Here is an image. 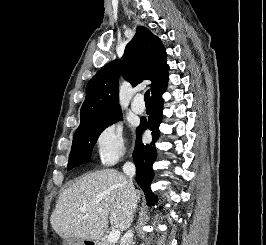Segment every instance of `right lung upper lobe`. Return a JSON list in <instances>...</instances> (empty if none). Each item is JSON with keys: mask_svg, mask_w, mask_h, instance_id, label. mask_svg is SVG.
I'll return each mask as SVG.
<instances>
[{"mask_svg": "<svg viewBox=\"0 0 266 245\" xmlns=\"http://www.w3.org/2000/svg\"><path fill=\"white\" fill-rule=\"evenodd\" d=\"M168 69L160 39L144 26H138L122 59L106 64L87 84L81 122L121 111L118 105L119 73L133 86L150 79L154 95L167 85Z\"/></svg>", "mask_w": 266, "mask_h": 245, "instance_id": "1", "label": "right lung upper lobe"}]
</instances>
